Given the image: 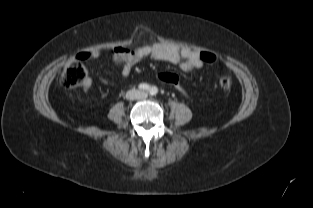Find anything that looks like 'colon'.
<instances>
[{
  "label": "colon",
  "mask_w": 313,
  "mask_h": 208,
  "mask_svg": "<svg viewBox=\"0 0 313 208\" xmlns=\"http://www.w3.org/2000/svg\"><path fill=\"white\" fill-rule=\"evenodd\" d=\"M200 59L207 64H213L217 60V56L210 51H203L199 53ZM158 78L173 86L178 97L187 99L189 97L187 90L182 85L180 77L171 72H163L158 75ZM88 82L87 71L79 60L69 62L62 75V84L69 89L77 88L86 85ZM222 89H230L232 81L230 76L222 75L218 81Z\"/></svg>",
  "instance_id": "5ec220e1"
}]
</instances>
